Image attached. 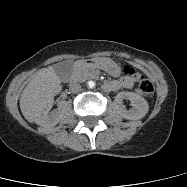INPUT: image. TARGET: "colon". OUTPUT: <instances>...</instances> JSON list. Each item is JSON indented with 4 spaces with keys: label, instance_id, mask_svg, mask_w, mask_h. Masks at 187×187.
Listing matches in <instances>:
<instances>
[{
    "label": "colon",
    "instance_id": "5ec220e1",
    "mask_svg": "<svg viewBox=\"0 0 187 187\" xmlns=\"http://www.w3.org/2000/svg\"><path fill=\"white\" fill-rule=\"evenodd\" d=\"M125 74L134 79L140 92L145 95H152L155 91V86L153 82L143 75L141 72L137 71L132 67H126L124 69Z\"/></svg>",
    "mask_w": 187,
    "mask_h": 187
}]
</instances>
